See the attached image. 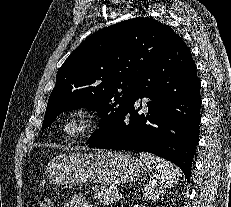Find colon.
I'll return each instance as SVG.
<instances>
[{"mask_svg":"<svg viewBox=\"0 0 231 207\" xmlns=\"http://www.w3.org/2000/svg\"><path fill=\"white\" fill-rule=\"evenodd\" d=\"M38 207H54L53 202L48 197H43L40 199Z\"/></svg>","mask_w":231,"mask_h":207,"instance_id":"1","label":"colon"}]
</instances>
